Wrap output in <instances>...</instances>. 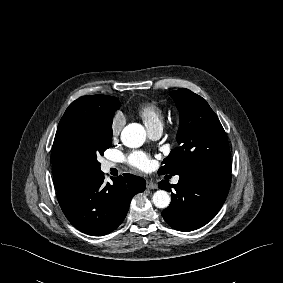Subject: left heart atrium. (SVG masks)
<instances>
[{
    "mask_svg": "<svg viewBox=\"0 0 283 283\" xmlns=\"http://www.w3.org/2000/svg\"><path fill=\"white\" fill-rule=\"evenodd\" d=\"M127 160L130 166L142 171L148 170L153 164L151 158L144 152H133Z\"/></svg>",
    "mask_w": 283,
    "mask_h": 283,
    "instance_id": "39dd6f15",
    "label": "left heart atrium"
}]
</instances>
